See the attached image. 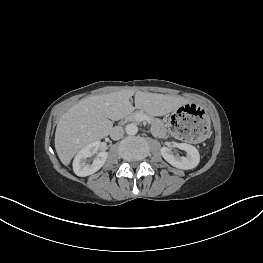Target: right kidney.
Wrapping results in <instances>:
<instances>
[{"label": "right kidney", "mask_w": 263, "mask_h": 263, "mask_svg": "<svg viewBox=\"0 0 263 263\" xmlns=\"http://www.w3.org/2000/svg\"><path fill=\"white\" fill-rule=\"evenodd\" d=\"M100 141H94L83 147L75 156L73 161V170L77 176L85 177L97 172L105 163L108 153L98 151ZM96 154V157L91 162L90 158Z\"/></svg>", "instance_id": "obj_1"}]
</instances>
